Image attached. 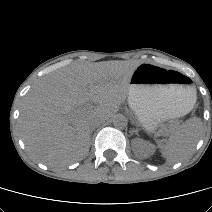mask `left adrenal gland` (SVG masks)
Returning <instances> with one entry per match:
<instances>
[{
	"mask_svg": "<svg viewBox=\"0 0 212 212\" xmlns=\"http://www.w3.org/2000/svg\"><path fill=\"white\" fill-rule=\"evenodd\" d=\"M131 132H134V133L137 134L138 131H137V129H134V130H132Z\"/></svg>",
	"mask_w": 212,
	"mask_h": 212,
	"instance_id": "obj_1",
	"label": "left adrenal gland"
}]
</instances>
